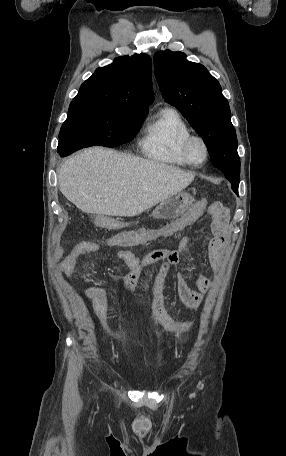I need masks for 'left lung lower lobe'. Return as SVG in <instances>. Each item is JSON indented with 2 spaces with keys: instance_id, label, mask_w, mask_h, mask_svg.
Returning <instances> with one entry per match:
<instances>
[{
  "instance_id": "left-lung-lower-lobe-1",
  "label": "left lung lower lobe",
  "mask_w": 286,
  "mask_h": 456,
  "mask_svg": "<svg viewBox=\"0 0 286 456\" xmlns=\"http://www.w3.org/2000/svg\"><path fill=\"white\" fill-rule=\"evenodd\" d=\"M232 189H233V191H234L236 194H238V192H237V191H238V186H237V185H233V186H232Z\"/></svg>"
}]
</instances>
